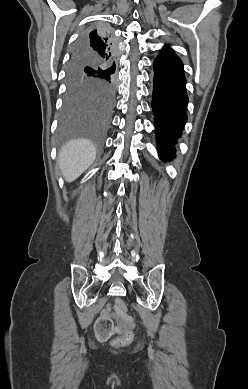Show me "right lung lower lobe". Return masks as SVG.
Listing matches in <instances>:
<instances>
[{
    "label": "right lung lower lobe",
    "mask_w": 248,
    "mask_h": 389,
    "mask_svg": "<svg viewBox=\"0 0 248 389\" xmlns=\"http://www.w3.org/2000/svg\"><path fill=\"white\" fill-rule=\"evenodd\" d=\"M106 38L105 40L108 41V45H111L112 48H114V45H115V41L113 40V38L111 37V34L109 32H106ZM83 39L84 37H82L79 41V43L77 44V46L80 47V49L86 53V54H91L85 47H84V43H83ZM110 48V47H108ZM96 50H104V49H96Z\"/></svg>",
    "instance_id": "1"
}]
</instances>
